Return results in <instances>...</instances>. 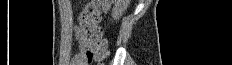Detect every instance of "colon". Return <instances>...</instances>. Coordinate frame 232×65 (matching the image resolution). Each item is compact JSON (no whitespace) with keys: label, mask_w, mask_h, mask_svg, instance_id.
I'll list each match as a JSON object with an SVG mask.
<instances>
[{"label":"colon","mask_w":232,"mask_h":65,"mask_svg":"<svg viewBox=\"0 0 232 65\" xmlns=\"http://www.w3.org/2000/svg\"><path fill=\"white\" fill-rule=\"evenodd\" d=\"M111 0L88 1L80 13V23L87 40L88 62L103 61L107 56V42L100 22L109 10Z\"/></svg>","instance_id":"5ec220e1"}]
</instances>
